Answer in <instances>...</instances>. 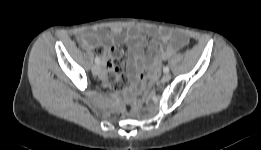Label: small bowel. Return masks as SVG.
<instances>
[{
  "label": "small bowel",
  "mask_w": 261,
  "mask_h": 150,
  "mask_svg": "<svg viewBox=\"0 0 261 150\" xmlns=\"http://www.w3.org/2000/svg\"><path fill=\"white\" fill-rule=\"evenodd\" d=\"M152 40L148 41L146 35ZM77 41L86 50H96L105 59L107 68L106 82L113 89H119L123 83V75L117 64L119 50L115 47L118 43H124L128 48L127 68L129 77L135 81L139 71L147 68L153 73V78L158 75L161 62L172 57L180 48L188 42V37L180 32L154 26L141 28L129 27L125 33L120 26H113L109 32H100L97 29H84L77 33ZM160 42L164 44L161 47ZM157 53L158 58L148 59L144 55V49Z\"/></svg>",
  "instance_id": "obj_1"
}]
</instances>
